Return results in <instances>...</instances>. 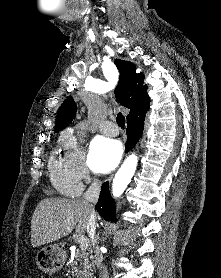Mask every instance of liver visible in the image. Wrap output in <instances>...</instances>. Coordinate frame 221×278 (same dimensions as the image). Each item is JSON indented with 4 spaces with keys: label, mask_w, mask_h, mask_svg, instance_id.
I'll return each mask as SVG.
<instances>
[{
    "label": "liver",
    "mask_w": 221,
    "mask_h": 278,
    "mask_svg": "<svg viewBox=\"0 0 221 278\" xmlns=\"http://www.w3.org/2000/svg\"><path fill=\"white\" fill-rule=\"evenodd\" d=\"M90 216L89 204L81 199L58 197L41 200L31 219V245L52 243L75 230V237L83 235Z\"/></svg>",
    "instance_id": "6515ba94"
}]
</instances>
